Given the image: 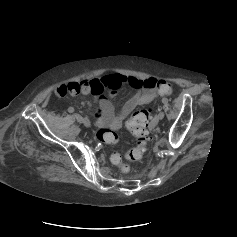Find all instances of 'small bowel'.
<instances>
[{"label": "small bowel", "mask_w": 237, "mask_h": 237, "mask_svg": "<svg viewBox=\"0 0 237 237\" xmlns=\"http://www.w3.org/2000/svg\"><path fill=\"white\" fill-rule=\"evenodd\" d=\"M158 80L153 77L138 79L122 74H112L100 79L85 80L82 82H70L55 88L58 97L68 94H91L99 100V110L96 113V125L109 127L113 130L121 127L125 118L138 106L152 102L157 96L156 86ZM127 84L134 89L133 96L115 113L112 103L103 96L107 90L111 96L116 94L118 88Z\"/></svg>", "instance_id": "1"}]
</instances>
